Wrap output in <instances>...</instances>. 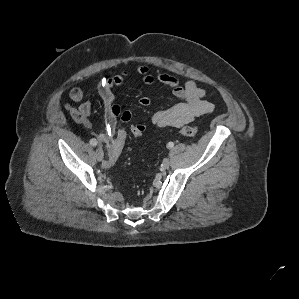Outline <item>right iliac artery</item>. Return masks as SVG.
I'll return each instance as SVG.
<instances>
[{"mask_svg":"<svg viewBox=\"0 0 299 299\" xmlns=\"http://www.w3.org/2000/svg\"><path fill=\"white\" fill-rule=\"evenodd\" d=\"M90 144H91L92 146H96V145H97V140H96V139H91V140H90Z\"/></svg>","mask_w":299,"mask_h":299,"instance_id":"obj_1","label":"right iliac artery"}]
</instances>
